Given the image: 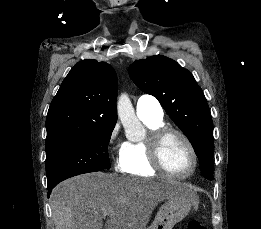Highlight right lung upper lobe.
I'll return each instance as SVG.
<instances>
[{
	"label": "right lung upper lobe",
	"mask_w": 261,
	"mask_h": 229,
	"mask_svg": "<svg viewBox=\"0 0 261 229\" xmlns=\"http://www.w3.org/2000/svg\"><path fill=\"white\" fill-rule=\"evenodd\" d=\"M117 76L111 65L86 59L62 82L46 118V147L96 125H115Z\"/></svg>",
	"instance_id": "right-lung-upper-lobe-1"
}]
</instances>
